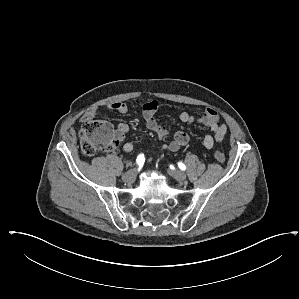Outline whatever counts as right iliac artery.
Returning <instances> with one entry per match:
<instances>
[{
	"mask_svg": "<svg viewBox=\"0 0 299 299\" xmlns=\"http://www.w3.org/2000/svg\"><path fill=\"white\" fill-rule=\"evenodd\" d=\"M144 162H145L144 154H139L136 159L137 165L142 166L144 164Z\"/></svg>",
	"mask_w": 299,
	"mask_h": 299,
	"instance_id": "right-iliac-artery-1",
	"label": "right iliac artery"
}]
</instances>
